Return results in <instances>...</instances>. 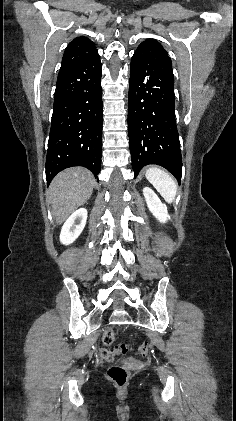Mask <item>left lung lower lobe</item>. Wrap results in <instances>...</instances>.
Segmentation results:
<instances>
[{
	"instance_id": "left-lung-lower-lobe-1",
	"label": "left lung lower lobe",
	"mask_w": 236,
	"mask_h": 421,
	"mask_svg": "<svg viewBox=\"0 0 236 421\" xmlns=\"http://www.w3.org/2000/svg\"><path fill=\"white\" fill-rule=\"evenodd\" d=\"M174 103V75L166 50L161 45L140 44L130 64L128 98L134 178L146 164H157L180 184L182 158Z\"/></svg>"
}]
</instances>
